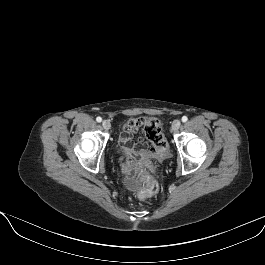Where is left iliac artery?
<instances>
[{"instance_id":"1","label":"left iliac artery","mask_w":265,"mask_h":265,"mask_svg":"<svg viewBox=\"0 0 265 265\" xmlns=\"http://www.w3.org/2000/svg\"><path fill=\"white\" fill-rule=\"evenodd\" d=\"M181 120H182V122H186L188 120V118H187V116H183Z\"/></svg>"}]
</instances>
